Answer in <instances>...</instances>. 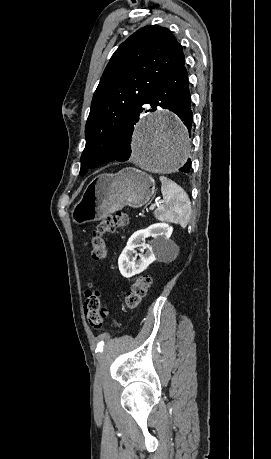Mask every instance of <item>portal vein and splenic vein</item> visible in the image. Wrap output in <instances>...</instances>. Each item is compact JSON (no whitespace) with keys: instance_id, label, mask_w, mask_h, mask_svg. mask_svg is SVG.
Instances as JSON below:
<instances>
[{"instance_id":"1","label":"portal vein and splenic vein","mask_w":271,"mask_h":459,"mask_svg":"<svg viewBox=\"0 0 271 459\" xmlns=\"http://www.w3.org/2000/svg\"><path fill=\"white\" fill-rule=\"evenodd\" d=\"M155 206H150L149 210H154Z\"/></svg>"}]
</instances>
